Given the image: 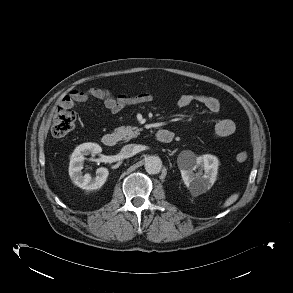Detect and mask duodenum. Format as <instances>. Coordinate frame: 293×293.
Instances as JSON below:
<instances>
[{"mask_svg":"<svg viewBox=\"0 0 293 293\" xmlns=\"http://www.w3.org/2000/svg\"><path fill=\"white\" fill-rule=\"evenodd\" d=\"M173 138V135L170 131L166 129H161L156 133V139L162 143H169ZM118 136L115 133H106L102 137V143L106 147H114L118 144Z\"/></svg>","mask_w":293,"mask_h":293,"instance_id":"obj_1","label":"duodenum"}]
</instances>
